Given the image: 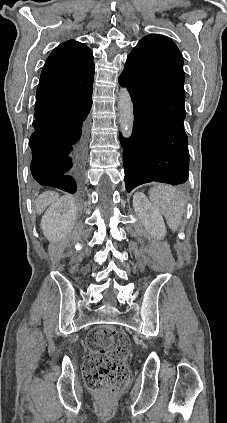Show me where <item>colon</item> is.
Here are the masks:
<instances>
[{"label": "colon", "mask_w": 227, "mask_h": 423, "mask_svg": "<svg viewBox=\"0 0 227 423\" xmlns=\"http://www.w3.org/2000/svg\"><path fill=\"white\" fill-rule=\"evenodd\" d=\"M89 354L84 363L86 386L103 395L121 392L127 385L129 370L126 359L129 338L111 326H99L86 338Z\"/></svg>", "instance_id": "5ec220e1"}]
</instances>
